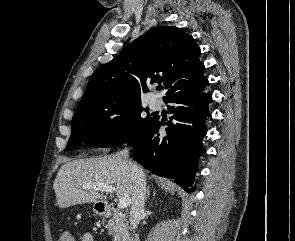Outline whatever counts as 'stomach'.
<instances>
[{
  "mask_svg": "<svg viewBox=\"0 0 295 241\" xmlns=\"http://www.w3.org/2000/svg\"><path fill=\"white\" fill-rule=\"evenodd\" d=\"M100 204V202L98 203H95L94 204V207H93V211L97 214V215H103L105 212H104V209L99 207L98 205Z\"/></svg>",
  "mask_w": 295,
  "mask_h": 241,
  "instance_id": "0dacf381",
  "label": "stomach"
}]
</instances>
